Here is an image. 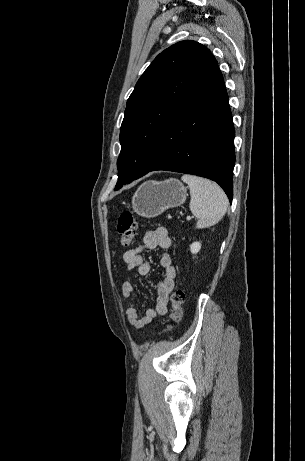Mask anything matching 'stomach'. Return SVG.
I'll list each match as a JSON object with an SVG mask.
<instances>
[{"instance_id": "0dacf381", "label": "stomach", "mask_w": 305, "mask_h": 461, "mask_svg": "<svg viewBox=\"0 0 305 461\" xmlns=\"http://www.w3.org/2000/svg\"><path fill=\"white\" fill-rule=\"evenodd\" d=\"M186 197V187L177 179L149 180L136 190L132 207L138 215L153 218L169 208L180 206Z\"/></svg>"}]
</instances>
